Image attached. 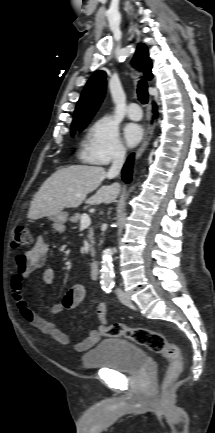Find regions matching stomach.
<instances>
[{
  "label": "stomach",
  "mask_w": 215,
  "mask_h": 433,
  "mask_svg": "<svg viewBox=\"0 0 215 433\" xmlns=\"http://www.w3.org/2000/svg\"><path fill=\"white\" fill-rule=\"evenodd\" d=\"M67 217H68L67 213L60 212L56 215H53L51 218L56 223L64 224L67 221Z\"/></svg>",
  "instance_id": "stomach-1"
}]
</instances>
